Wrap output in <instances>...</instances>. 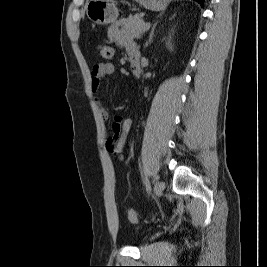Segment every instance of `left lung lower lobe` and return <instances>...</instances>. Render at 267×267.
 I'll use <instances>...</instances> for the list:
<instances>
[{
	"label": "left lung lower lobe",
	"mask_w": 267,
	"mask_h": 267,
	"mask_svg": "<svg viewBox=\"0 0 267 267\" xmlns=\"http://www.w3.org/2000/svg\"><path fill=\"white\" fill-rule=\"evenodd\" d=\"M195 1H197L198 3H200V5L203 6V0H195Z\"/></svg>",
	"instance_id": "0a47b994"
}]
</instances>
